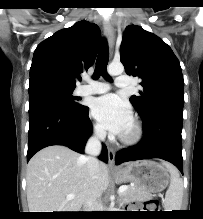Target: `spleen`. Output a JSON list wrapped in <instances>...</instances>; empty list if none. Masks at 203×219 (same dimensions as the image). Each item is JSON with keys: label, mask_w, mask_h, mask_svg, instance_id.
<instances>
[{"label": "spleen", "mask_w": 203, "mask_h": 219, "mask_svg": "<svg viewBox=\"0 0 203 219\" xmlns=\"http://www.w3.org/2000/svg\"><path fill=\"white\" fill-rule=\"evenodd\" d=\"M170 173V185L165 195L166 211L180 210L183 197V183L178 170L167 162L162 163Z\"/></svg>", "instance_id": "1"}]
</instances>
